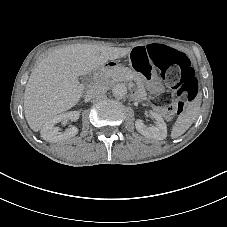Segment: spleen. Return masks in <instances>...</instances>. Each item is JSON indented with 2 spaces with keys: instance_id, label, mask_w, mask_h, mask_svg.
<instances>
[{
  "instance_id": "1",
  "label": "spleen",
  "mask_w": 227,
  "mask_h": 227,
  "mask_svg": "<svg viewBox=\"0 0 227 227\" xmlns=\"http://www.w3.org/2000/svg\"><path fill=\"white\" fill-rule=\"evenodd\" d=\"M197 117V109H192L184 114H181L175 125L172 129L171 136L172 138H177L181 136L183 133L187 131V129L191 126L194 120Z\"/></svg>"
}]
</instances>
